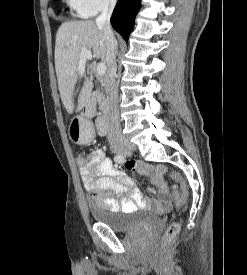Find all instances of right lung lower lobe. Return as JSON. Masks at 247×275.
Returning a JSON list of instances; mask_svg holds the SVG:
<instances>
[{
  "label": "right lung lower lobe",
  "instance_id": "obj_1",
  "mask_svg": "<svg viewBox=\"0 0 247 275\" xmlns=\"http://www.w3.org/2000/svg\"><path fill=\"white\" fill-rule=\"evenodd\" d=\"M141 6V0H119L111 16L113 28L128 41L133 30L135 17Z\"/></svg>",
  "mask_w": 247,
  "mask_h": 275
}]
</instances>
